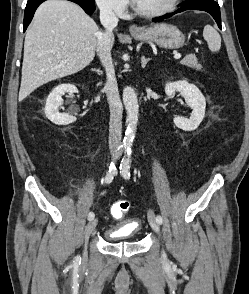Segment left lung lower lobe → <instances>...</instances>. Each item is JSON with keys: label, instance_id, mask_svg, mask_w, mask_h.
<instances>
[{"label": "left lung lower lobe", "instance_id": "1", "mask_svg": "<svg viewBox=\"0 0 249 294\" xmlns=\"http://www.w3.org/2000/svg\"><path fill=\"white\" fill-rule=\"evenodd\" d=\"M202 10L206 11L209 14L212 15V17L215 19L216 23L218 24V27L222 29L221 27V17H220V7L217 2L213 0H188L182 3V6L175 11L174 13L162 16V17H157L153 19V22L160 21L166 18L171 17L172 15L176 13L183 12L185 10Z\"/></svg>", "mask_w": 249, "mask_h": 294}]
</instances>
